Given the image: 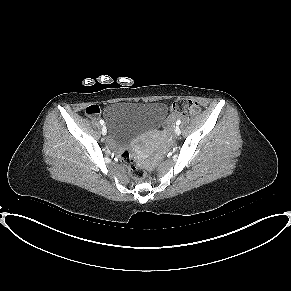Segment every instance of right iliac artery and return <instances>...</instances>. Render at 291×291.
I'll use <instances>...</instances> for the list:
<instances>
[{
    "label": "right iliac artery",
    "mask_w": 291,
    "mask_h": 291,
    "mask_svg": "<svg viewBox=\"0 0 291 291\" xmlns=\"http://www.w3.org/2000/svg\"><path fill=\"white\" fill-rule=\"evenodd\" d=\"M100 124L103 125L104 124V121L103 120H100Z\"/></svg>",
    "instance_id": "right-iliac-artery-1"
}]
</instances>
